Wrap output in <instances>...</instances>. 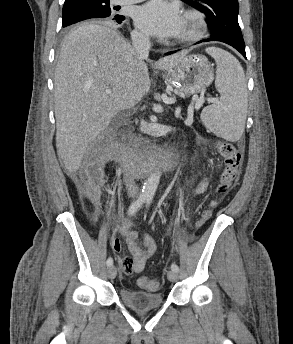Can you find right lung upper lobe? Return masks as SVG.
Segmentation results:
<instances>
[{
  "mask_svg": "<svg viewBox=\"0 0 293 344\" xmlns=\"http://www.w3.org/2000/svg\"><path fill=\"white\" fill-rule=\"evenodd\" d=\"M76 1H80V0H65L64 4L73 3V2H76Z\"/></svg>",
  "mask_w": 293,
  "mask_h": 344,
  "instance_id": "1",
  "label": "right lung upper lobe"
}]
</instances>
